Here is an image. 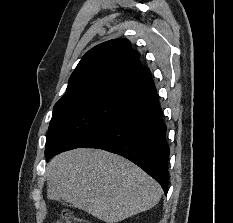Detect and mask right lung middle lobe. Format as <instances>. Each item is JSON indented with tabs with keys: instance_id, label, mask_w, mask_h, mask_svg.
I'll list each match as a JSON object with an SVG mask.
<instances>
[{
	"instance_id": "1",
	"label": "right lung middle lobe",
	"mask_w": 233,
	"mask_h": 223,
	"mask_svg": "<svg viewBox=\"0 0 233 223\" xmlns=\"http://www.w3.org/2000/svg\"><path fill=\"white\" fill-rule=\"evenodd\" d=\"M122 92L97 90L63 96L53 108L45 152L78 148L120 113Z\"/></svg>"
}]
</instances>
